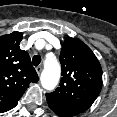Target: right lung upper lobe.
Instances as JSON below:
<instances>
[{"instance_id": "1", "label": "right lung upper lobe", "mask_w": 117, "mask_h": 117, "mask_svg": "<svg viewBox=\"0 0 117 117\" xmlns=\"http://www.w3.org/2000/svg\"><path fill=\"white\" fill-rule=\"evenodd\" d=\"M21 32L0 37V113L14 108L30 83L38 81L28 53L19 44Z\"/></svg>"}]
</instances>
